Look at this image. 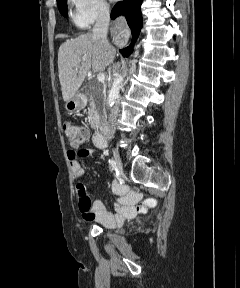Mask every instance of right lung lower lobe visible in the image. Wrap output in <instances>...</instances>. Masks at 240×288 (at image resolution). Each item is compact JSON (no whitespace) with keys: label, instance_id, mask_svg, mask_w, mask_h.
Returning a JSON list of instances; mask_svg holds the SVG:
<instances>
[{"label":"right lung lower lobe","instance_id":"1","mask_svg":"<svg viewBox=\"0 0 240 288\" xmlns=\"http://www.w3.org/2000/svg\"><path fill=\"white\" fill-rule=\"evenodd\" d=\"M141 3L142 0H123L122 2H118L111 12L112 19H115L120 15H125L127 23L132 31L133 39L131 44L120 50L124 57H128L133 51L134 42L142 27Z\"/></svg>","mask_w":240,"mask_h":288}]
</instances>
